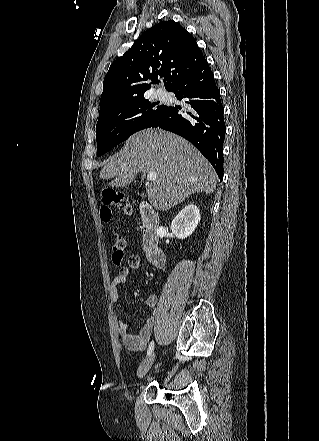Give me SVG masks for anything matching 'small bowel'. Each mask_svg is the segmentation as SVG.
Here are the masks:
<instances>
[{
    "instance_id": "obj_1",
    "label": "small bowel",
    "mask_w": 319,
    "mask_h": 441,
    "mask_svg": "<svg viewBox=\"0 0 319 441\" xmlns=\"http://www.w3.org/2000/svg\"><path fill=\"white\" fill-rule=\"evenodd\" d=\"M141 263V257L138 254H133L128 258L126 266L120 267L117 275L113 278L109 294L112 302L117 303L119 300L120 288L126 284L129 275L136 270ZM158 298L155 294H150L145 299V305L153 310L157 305ZM154 328V314L151 313L145 320L140 329L139 334H131L128 331V326L121 319H118L119 334L124 346L130 351H144L153 332Z\"/></svg>"
}]
</instances>
